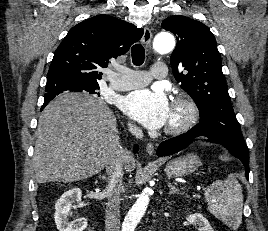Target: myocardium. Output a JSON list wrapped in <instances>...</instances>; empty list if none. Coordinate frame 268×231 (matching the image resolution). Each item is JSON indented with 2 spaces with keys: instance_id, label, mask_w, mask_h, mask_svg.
<instances>
[{
  "instance_id": "obj_1",
  "label": "myocardium",
  "mask_w": 268,
  "mask_h": 231,
  "mask_svg": "<svg viewBox=\"0 0 268 231\" xmlns=\"http://www.w3.org/2000/svg\"><path fill=\"white\" fill-rule=\"evenodd\" d=\"M172 107H177L182 111V118L173 125H167L164 132L169 135H178L189 130L195 123L198 116L196 103L186 94L178 95L173 99Z\"/></svg>"
}]
</instances>
